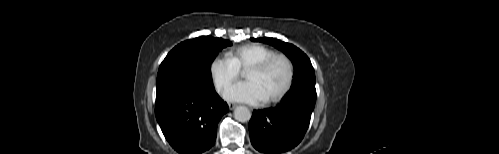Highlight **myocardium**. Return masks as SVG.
Wrapping results in <instances>:
<instances>
[{"instance_id": "obj_1", "label": "myocardium", "mask_w": 499, "mask_h": 154, "mask_svg": "<svg viewBox=\"0 0 499 154\" xmlns=\"http://www.w3.org/2000/svg\"><path fill=\"white\" fill-rule=\"evenodd\" d=\"M276 60H282L286 64L287 78H286V82H285L284 86L282 87V89L274 96L267 98L265 100L266 103H274V102L281 100L290 90L292 83H293V79H294V65H293L292 60L286 54L274 53V54L268 56L267 58L263 59L262 61L252 65L251 67H249L247 69V71L253 70V71L261 72V71L266 70Z\"/></svg>"}]
</instances>
